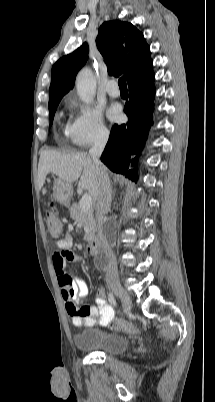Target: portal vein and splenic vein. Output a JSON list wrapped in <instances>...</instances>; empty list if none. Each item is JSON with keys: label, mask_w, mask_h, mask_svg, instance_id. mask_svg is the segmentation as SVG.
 Masks as SVG:
<instances>
[{"label": "portal vein and splenic vein", "mask_w": 215, "mask_h": 402, "mask_svg": "<svg viewBox=\"0 0 215 402\" xmlns=\"http://www.w3.org/2000/svg\"><path fill=\"white\" fill-rule=\"evenodd\" d=\"M79 204L82 211L89 210L92 206V197L89 194H84Z\"/></svg>", "instance_id": "portal-vein-and-splenic-vein-1"}]
</instances>
